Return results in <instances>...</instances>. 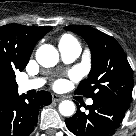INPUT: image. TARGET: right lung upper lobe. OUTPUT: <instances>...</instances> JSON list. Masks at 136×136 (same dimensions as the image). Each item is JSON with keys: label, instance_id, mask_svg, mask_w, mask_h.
<instances>
[{"label": "right lung upper lobe", "instance_id": "obj_1", "mask_svg": "<svg viewBox=\"0 0 136 136\" xmlns=\"http://www.w3.org/2000/svg\"><path fill=\"white\" fill-rule=\"evenodd\" d=\"M52 27L8 24L0 27V99L18 92L13 82L15 71H22L37 41Z\"/></svg>", "mask_w": 136, "mask_h": 136}]
</instances>
